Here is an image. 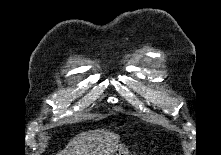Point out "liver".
I'll list each match as a JSON object with an SVG mask.
<instances>
[{"label": "liver", "mask_w": 221, "mask_h": 155, "mask_svg": "<svg viewBox=\"0 0 221 155\" xmlns=\"http://www.w3.org/2000/svg\"><path fill=\"white\" fill-rule=\"evenodd\" d=\"M120 136L104 129L82 132L57 155H112Z\"/></svg>", "instance_id": "obj_1"}]
</instances>
